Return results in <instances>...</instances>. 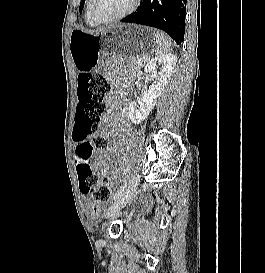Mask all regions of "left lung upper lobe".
<instances>
[{"label":"left lung upper lobe","mask_w":265,"mask_h":273,"mask_svg":"<svg viewBox=\"0 0 265 273\" xmlns=\"http://www.w3.org/2000/svg\"><path fill=\"white\" fill-rule=\"evenodd\" d=\"M84 2H85V0H81L80 7H79V11H80V12H81L82 9H83Z\"/></svg>","instance_id":"1"}]
</instances>
